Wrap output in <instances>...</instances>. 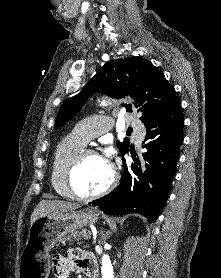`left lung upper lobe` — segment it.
<instances>
[{
    "label": "left lung upper lobe",
    "mask_w": 221,
    "mask_h": 278,
    "mask_svg": "<svg viewBox=\"0 0 221 278\" xmlns=\"http://www.w3.org/2000/svg\"><path fill=\"white\" fill-rule=\"evenodd\" d=\"M94 91L104 92L114 98L133 96L139 103L135 107L141 113L140 120L144 124L157 121L178 100L174 87L150 61L139 57L116 59L107 62L79 94L64 102L55 127L70 120ZM145 101L147 103L140 107ZM125 107L128 112H132L130 105ZM116 145L121 155L127 153L130 147L127 139L117 141Z\"/></svg>",
    "instance_id": "1"
}]
</instances>
